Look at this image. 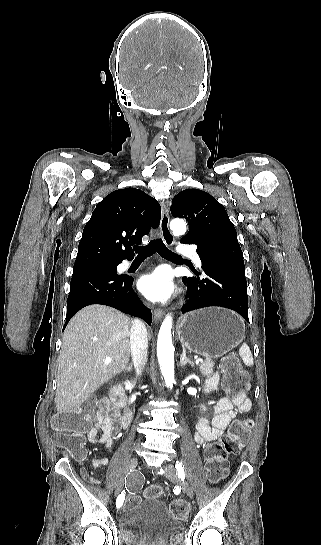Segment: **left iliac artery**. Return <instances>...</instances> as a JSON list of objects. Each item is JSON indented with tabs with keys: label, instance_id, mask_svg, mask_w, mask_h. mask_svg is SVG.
<instances>
[{
	"label": "left iliac artery",
	"instance_id": "1",
	"mask_svg": "<svg viewBox=\"0 0 321 545\" xmlns=\"http://www.w3.org/2000/svg\"><path fill=\"white\" fill-rule=\"evenodd\" d=\"M175 467L177 469V473H178L179 477L181 478V480H184V478H185L184 466L180 462L177 461L176 464H175Z\"/></svg>",
	"mask_w": 321,
	"mask_h": 545
}]
</instances>
